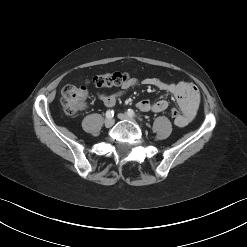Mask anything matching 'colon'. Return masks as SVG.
I'll use <instances>...</instances> for the list:
<instances>
[{"label":"colon","instance_id":"5ec220e1","mask_svg":"<svg viewBox=\"0 0 247 247\" xmlns=\"http://www.w3.org/2000/svg\"><path fill=\"white\" fill-rule=\"evenodd\" d=\"M129 75L121 72H107L94 76L89 83L97 88H113L123 86L128 80ZM88 92L86 87L69 85L64 87L62 91V105L67 115L73 116L86 106ZM171 118L179 119L180 111L172 109L170 112Z\"/></svg>","mask_w":247,"mask_h":247}]
</instances>
